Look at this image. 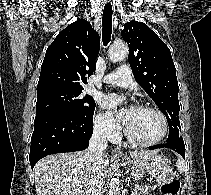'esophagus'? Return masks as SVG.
Returning a JSON list of instances; mask_svg holds the SVG:
<instances>
[{
    "label": "esophagus",
    "mask_w": 211,
    "mask_h": 195,
    "mask_svg": "<svg viewBox=\"0 0 211 195\" xmlns=\"http://www.w3.org/2000/svg\"><path fill=\"white\" fill-rule=\"evenodd\" d=\"M113 156L114 157H124L123 152L121 151L120 147H115L113 149Z\"/></svg>",
    "instance_id": "34e87169"
}]
</instances>
